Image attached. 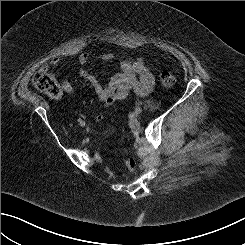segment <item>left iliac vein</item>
Here are the masks:
<instances>
[{
    "instance_id": "obj_1",
    "label": "left iliac vein",
    "mask_w": 245,
    "mask_h": 245,
    "mask_svg": "<svg viewBox=\"0 0 245 245\" xmlns=\"http://www.w3.org/2000/svg\"><path fill=\"white\" fill-rule=\"evenodd\" d=\"M142 111H143V109L141 108V107H136L135 109H134V112H135V114H141L142 113Z\"/></svg>"
}]
</instances>
